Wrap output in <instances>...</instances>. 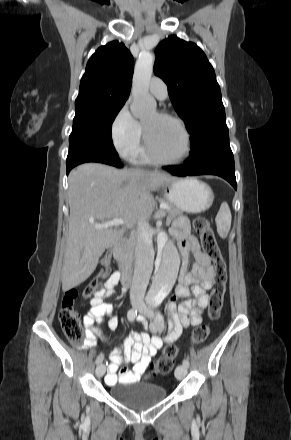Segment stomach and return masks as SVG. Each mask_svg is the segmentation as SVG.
I'll return each instance as SVG.
<instances>
[{
  "instance_id": "1",
  "label": "stomach",
  "mask_w": 291,
  "mask_h": 440,
  "mask_svg": "<svg viewBox=\"0 0 291 440\" xmlns=\"http://www.w3.org/2000/svg\"><path fill=\"white\" fill-rule=\"evenodd\" d=\"M163 190L167 202L187 213L204 212L214 201L210 186L196 178L174 179Z\"/></svg>"
}]
</instances>
